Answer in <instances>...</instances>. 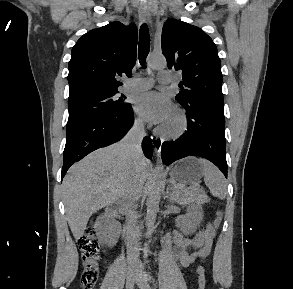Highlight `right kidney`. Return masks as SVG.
<instances>
[{
    "mask_svg": "<svg viewBox=\"0 0 293 289\" xmlns=\"http://www.w3.org/2000/svg\"><path fill=\"white\" fill-rule=\"evenodd\" d=\"M106 219V215L99 216L95 222V228H97L100 231H104L108 224Z\"/></svg>",
    "mask_w": 293,
    "mask_h": 289,
    "instance_id": "obj_1",
    "label": "right kidney"
}]
</instances>
